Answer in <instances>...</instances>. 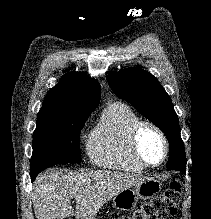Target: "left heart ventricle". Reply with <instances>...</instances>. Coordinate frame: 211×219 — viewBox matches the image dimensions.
I'll return each instance as SVG.
<instances>
[{
    "label": "left heart ventricle",
    "instance_id": "b2bd125f",
    "mask_svg": "<svg viewBox=\"0 0 211 219\" xmlns=\"http://www.w3.org/2000/svg\"><path fill=\"white\" fill-rule=\"evenodd\" d=\"M139 148L143 158L150 164L158 163L163 156V143L151 128H144L139 136Z\"/></svg>",
    "mask_w": 211,
    "mask_h": 219
}]
</instances>
